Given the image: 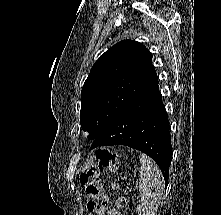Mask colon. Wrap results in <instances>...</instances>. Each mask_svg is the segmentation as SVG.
<instances>
[{"instance_id":"obj_1","label":"colon","mask_w":221,"mask_h":215,"mask_svg":"<svg viewBox=\"0 0 221 215\" xmlns=\"http://www.w3.org/2000/svg\"><path fill=\"white\" fill-rule=\"evenodd\" d=\"M117 168V158L108 149H96L93 152L90 164L80 175V182L84 186L88 197L87 208L89 212L95 215H104L110 208L111 201L104 192L100 175L106 169L115 171ZM113 185L118 187L117 182H114ZM117 204L119 207H123L126 204V200L120 198Z\"/></svg>"}]
</instances>
